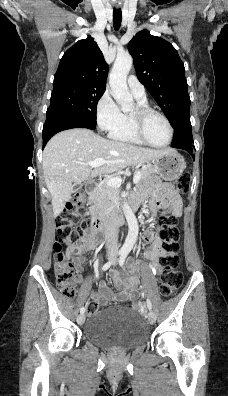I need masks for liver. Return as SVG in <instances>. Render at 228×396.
<instances>
[{"label": "liver", "mask_w": 228, "mask_h": 396, "mask_svg": "<svg viewBox=\"0 0 228 396\" xmlns=\"http://www.w3.org/2000/svg\"><path fill=\"white\" fill-rule=\"evenodd\" d=\"M171 149L156 150L105 139L84 128L56 134L43 151V171L52 196L53 215L57 217L70 200L75 184L88 177L111 174L161 157ZM97 158L107 163L95 167L87 164Z\"/></svg>", "instance_id": "6515ba94"}]
</instances>
